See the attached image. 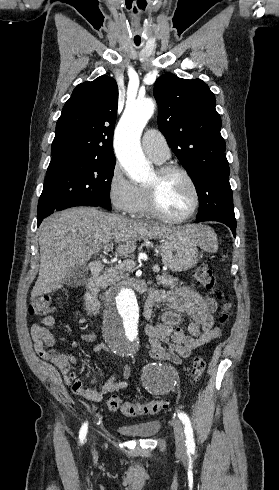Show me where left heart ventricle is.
Masks as SVG:
<instances>
[{
	"instance_id": "left-heart-ventricle-1",
	"label": "left heart ventricle",
	"mask_w": 279,
	"mask_h": 490,
	"mask_svg": "<svg viewBox=\"0 0 279 490\" xmlns=\"http://www.w3.org/2000/svg\"><path fill=\"white\" fill-rule=\"evenodd\" d=\"M154 183H158L159 186V204L168 215L179 217L190 210L194 193L185 177L178 173H171L159 179L155 171L148 185Z\"/></svg>"
}]
</instances>
